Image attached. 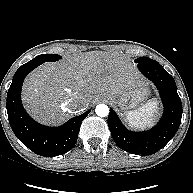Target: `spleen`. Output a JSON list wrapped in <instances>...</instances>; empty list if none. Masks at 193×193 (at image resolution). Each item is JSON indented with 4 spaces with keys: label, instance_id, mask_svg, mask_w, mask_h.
<instances>
[{
    "label": "spleen",
    "instance_id": "3e777b00",
    "mask_svg": "<svg viewBox=\"0 0 193 193\" xmlns=\"http://www.w3.org/2000/svg\"><path fill=\"white\" fill-rule=\"evenodd\" d=\"M158 103L150 100L136 110L127 113V120L132 128L144 129L152 125L158 109Z\"/></svg>",
    "mask_w": 193,
    "mask_h": 193
}]
</instances>
